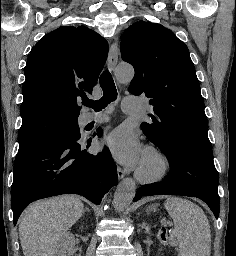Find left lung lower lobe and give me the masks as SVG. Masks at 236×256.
<instances>
[{
	"label": "left lung lower lobe",
	"mask_w": 236,
	"mask_h": 256,
	"mask_svg": "<svg viewBox=\"0 0 236 256\" xmlns=\"http://www.w3.org/2000/svg\"><path fill=\"white\" fill-rule=\"evenodd\" d=\"M170 163V172L161 183L143 185L133 201L143 196L183 195L203 200L219 216L218 172L212 149L184 145L163 152Z\"/></svg>",
	"instance_id": "0a47b994"
}]
</instances>
